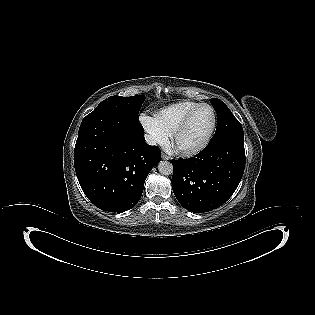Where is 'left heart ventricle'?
<instances>
[{
  "label": "left heart ventricle",
  "mask_w": 315,
  "mask_h": 315,
  "mask_svg": "<svg viewBox=\"0 0 315 315\" xmlns=\"http://www.w3.org/2000/svg\"><path fill=\"white\" fill-rule=\"evenodd\" d=\"M212 125V113L207 107L200 108L185 131L176 139L175 146L181 150H189L199 145L208 134Z\"/></svg>",
  "instance_id": "obj_1"
}]
</instances>
